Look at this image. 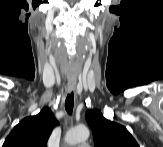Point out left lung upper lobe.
Masks as SVG:
<instances>
[{"label":"left lung upper lobe","mask_w":163,"mask_h":147,"mask_svg":"<svg viewBox=\"0 0 163 147\" xmlns=\"http://www.w3.org/2000/svg\"><path fill=\"white\" fill-rule=\"evenodd\" d=\"M86 121L92 129L95 147H139L126 127L107 120L97 109L87 111Z\"/></svg>","instance_id":"5c2ea615"}]
</instances>
